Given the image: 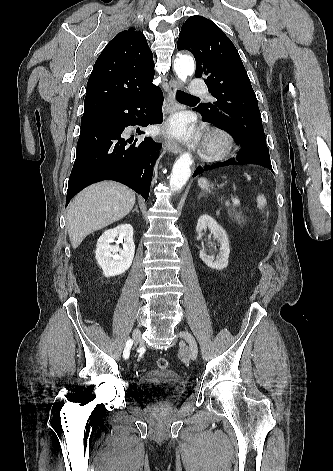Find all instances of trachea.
<instances>
[{
    "label": "trachea",
    "mask_w": 333,
    "mask_h": 471,
    "mask_svg": "<svg viewBox=\"0 0 333 471\" xmlns=\"http://www.w3.org/2000/svg\"><path fill=\"white\" fill-rule=\"evenodd\" d=\"M176 99L181 102L184 100H190V99H198V97L192 96L188 93H185L183 91L178 90L176 93Z\"/></svg>",
    "instance_id": "1"
}]
</instances>
